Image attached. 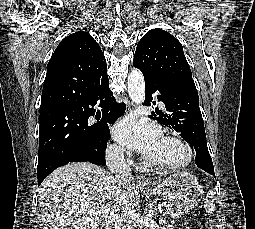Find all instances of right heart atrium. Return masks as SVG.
<instances>
[{
    "label": "right heart atrium",
    "mask_w": 255,
    "mask_h": 229,
    "mask_svg": "<svg viewBox=\"0 0 255 229\" xmlns=\"http://www.w3.org/2000/svg\"><path fill=\"white\" fill-rule=\"evenodd\" d=\"M107 151L112 156H120L124 153V150L118 145H110Z\"/></svg>",
    "instance_id": "obj_1"
}]
</instances>
